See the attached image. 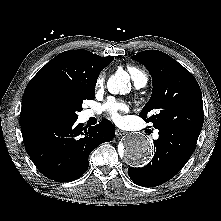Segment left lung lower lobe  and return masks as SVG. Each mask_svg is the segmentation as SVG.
Segmentation results:
<instances>
[{
    "instance_id": "1",
    "label": "left lung lower lobe",
    "mask_w": 221,
    "mask_h": 221,
    "mask_svg": "<svg viewBox=\"0 0 221 221\" xmlns=\"http://www.w3.org/2000/svg\"><path fill=\"white\" fill-rule=\"evenodd\" d=\"M158 134L152 161L142 168H128L129 177L137 185L155 187L173 178L191 157L198 139L173 129L159 130Z\"/></svg>"
}]
</instances>
